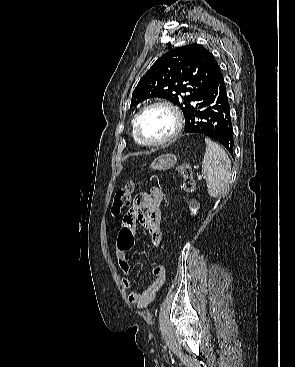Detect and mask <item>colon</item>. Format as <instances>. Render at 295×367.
Wrapping results in <instances>:
<instances>
[{
    "label": "colon",
    "mask_w": 295,
    "mask_h": 367,
    "mask_svg": "<svg viewBox=\"0 0 295 367\" xmlns=\"http://www.w3.org/2000/svg\"><path fill=\"white\" fill-rule=\"evenodd\" d=\"M178 172L182 176L181 189L184 192H193L195 189V181L193 177V171L189 164L183 163L178 166ZM134 189L133 183H128L124 187L117 190L114 196V201L112 205V213L118 215L124 208L130 204L131 194ZM170 201L169 195L162 196V206L163 208H168ZM121 243L125 247H130L133 243V237L129 229L124 228L121 231Z\"/></svg>",
    "instance_id": "colon-1"
}]
</instances>
